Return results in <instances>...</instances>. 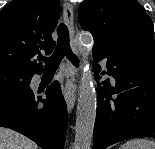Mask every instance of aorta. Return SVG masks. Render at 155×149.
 <instances>
[{"instance_id":"1","label":"aorta","mask_w":155,"mask_h":149,"mask_svg":"<svg viewBox=\"0 0 155 149\" xmlns=\"http://www.w3.org/2000/svg\"><path fill=\"white\" fill-rule=\"evenodd\" d=\"M83 48L82 61L86 62L89 52L93 48V37L88 32H83L77 40ZM97 96L94 88L93 73L86 64L80 78L79 98L76 112L74 149H90L94 124L96 119Z\"/></svg>"}]
</instances>
